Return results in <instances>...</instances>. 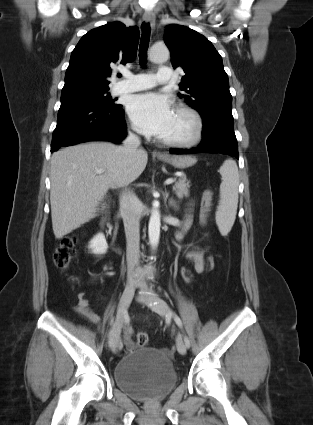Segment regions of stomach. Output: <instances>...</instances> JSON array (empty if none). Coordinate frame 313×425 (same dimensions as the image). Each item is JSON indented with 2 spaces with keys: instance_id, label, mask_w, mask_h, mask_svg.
Listing matches in <instances>:
<instances>
[{
  "instance_id": "1",
  "label": "stomach",
  "mask_w": 313,
  "mask_h": 425,
  "mask_svg": "<svg viewBox=\"0 0 313 425\" xmlns=\"http://www.w3.org/2000/svg\"><path fill=\"white\" fill-rule=\"evenodd\" d=\"M162 161L172 165L173 167L177 169H185L188 167H191L196 163V158L192 156H169L165 159H161Z\"/></svg>"
}]
</instances>
